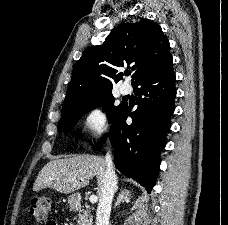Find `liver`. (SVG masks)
<instances>
[{
	"mask_svg": "<svg viewBox=\"0 0 228 225\" xmlns=\"http://www.w3.org/2000/svg\"><path fill=\"white\" fill-rule=\"evenodd\" d=\"M106 169L105 159L94 157V155H71V159H56L41 169L33 185V191H42L49 187L58 193L69 195L81 187H86L90 179L96 177L97 193L100 197V185L105 177ZM83 177L86 179L80 181Z\"/></svg>",
	"mask_w": 228,
	"mask_h": 225,
	"instance_id": "obj_1",
	"label": "liver"
}]
</instances>
